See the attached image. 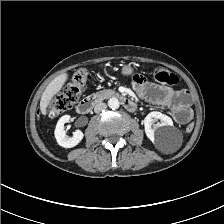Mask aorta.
<instances>
[{"mask_svg":"<svg viewBox=\"0 0 224 224\" xmlns=\"http://www.w3.org/2000/svg\"><path fill=\"white\" fill-rule=\"evenodd\" d=\"M108 106L111 108V109H117V108H119V106H120V102H119V100L117 99V98H115V97H113V98H110L109 100H108Z\"/></svg>","mask_w":224,"mask_h":224,"instance_id":"aorta-1","label":"aorta"}]
</instances>
